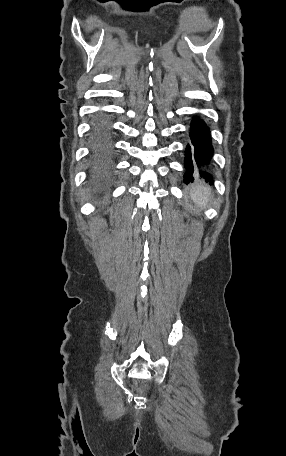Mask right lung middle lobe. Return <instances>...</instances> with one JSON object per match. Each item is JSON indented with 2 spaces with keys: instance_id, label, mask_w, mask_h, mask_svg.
Returning <instances> with one entry per match:
<instances>
[{
  "instance_id": "1",
  "label": "right lung middle lobe",
  "mask_w": 286,
  "mask_h": 456,
  "mask_svg": "<svg viewBox=\"0 0 286 456\" xmlns=\"http://www.w3.org/2000/svg\"><path fill=\"white\" fill-rule=\"evenodd\" d=\"M106 129H107V124H106L105 120L102 117H98V119H96V121H95L94 133L97 136H100L104 131H106Z\"/></svg>"
}]
</instances>
